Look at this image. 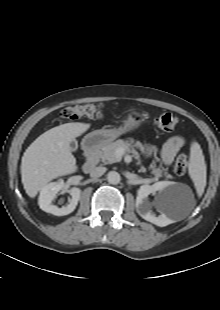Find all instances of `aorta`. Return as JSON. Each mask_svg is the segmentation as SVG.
Masks as SVG:
<instances>
[{"instance_id": "1", "label": "aorta", "mask_w": 220, "mask_h": 310, "mask_svg": "<svg viewBox=\"0 0 220 310\" xmlns=\"http://www.w3.org/2000/svg\"><path fill=\"white\" fill-rule=\"evenodd\" d=\"M107 180L110 184L116 185L119 184L121 181V176L116 171H110L107 175Z\"/></svg>"}]
</instances>
